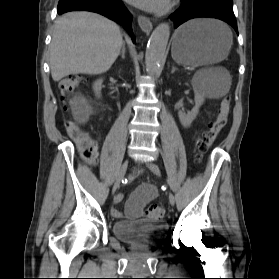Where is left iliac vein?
Returning <instances> with one entry per match:
<instances>
[{
	"instance_id": "1",
	"label": "left iliac vein",
	"mask_w": 279,
	"mask_h": 279,
	"mask_svg": "<svg viewBox=\"0 0 279 279\" xmlns=\"http://www.w3.org/2000/svg\"><path fill=\"white\" fill-rule=\"evenodd\" d=\"M146 165L155 175L157 176L161 175L160 169L155 163L148 161L146 162ZM169 202L172 206L175 204V197L172 193H169Z\"/></svg>"
}]
</instances>
